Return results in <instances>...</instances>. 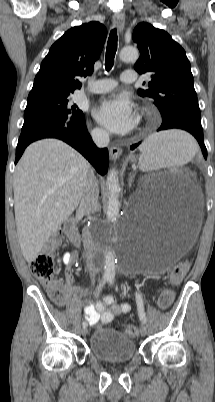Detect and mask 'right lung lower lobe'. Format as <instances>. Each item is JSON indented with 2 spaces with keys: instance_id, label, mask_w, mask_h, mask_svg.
I'll return each instance as SVG.
<instances>
[{
  "instance_id": "1",
  "label": "right lung lower lobe",
  "mask_w": 215,
  "mask_h": 402,
  "mask_svg": "<svg viewBox=\"0 0 215 402\" xmlns=\"http://www.w3.org/2000/svg\"><path fill=\"white\" fill-rule=\"evenodd\" d=\"M43 138H57L63 140L78 150L101 175H104L107 172L109 165L108 150L106 148L99 149L96 147L87 131L85 120L78 125L65 127L54 132L43 134L25 145H17L15 163L18 162L25 148L31 142Z\"/></svg>"
}]
</instances>
